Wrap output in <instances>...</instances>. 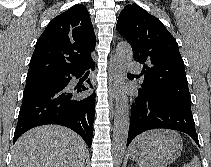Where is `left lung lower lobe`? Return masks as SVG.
Instances as JSON below:
<instances>
[{
	"label": "left lung lower lobe",
	"mask_w": 211,
	"mask_h": 167,
	"mask_svg": "<svg viewBox=\"0 0 211 167\" xmlns=\"http://www.w3.org/2000/svg\"><path fill=\"white\" fill-rule=\"evenodd\" d=\"M156 128L184 132L199 145L191 106L139 89L132 104L127 146L138 134Z\"/></svg>",
	"instance_id": "left-lung-lower-lobe-1"
}]
</instances>
